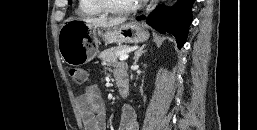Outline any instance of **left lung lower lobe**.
Wrapping results in <instances>:
<instances>
[{
	"label": "left lung lower lobe",
	"instance_id": "obj_1",
	"mask_svg": "<svg viewBox=\"0 0 257 130\" xmlns=\"http://www.w3.org/2000/svg\"><path fill=\"white\" fill-rule=\"evenodd\" d=\"M195 0H178L176 4L167 8L158 6L148 17L139 16L138 20H145L156 30L171 33L176 37L180 49L186 41L188 28L192 21V4Z\"/></svg>",
	"mask_w": 257,
	"mask_h": 130
}]
</instances>
